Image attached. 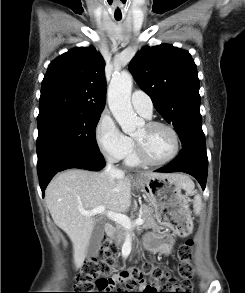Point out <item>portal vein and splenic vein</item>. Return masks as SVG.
Segmentation results:
<instances>
[{"label": "portal vein and splenic vein", "instance_id": "1", "mask_svg": "<svg viewBox=\"0 0 245 293\" xmlns=\"http://www.w3.org/2000/svg\"><path fill=\"white\" fill-rule=\"evenodd\" d=\"M80 213L84 216H94L96 214H105L109 219L115 221L118 224H121L126 229H131L133 226H139L144 223L142 218H137L134 222H131V219L121 213H116L112 211H106L105 206H99L90 211L80 210Z\"/></svg>", "mask_w": 245, "mask_h": 293}]
</instances>
